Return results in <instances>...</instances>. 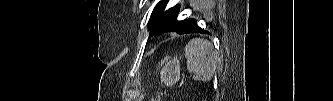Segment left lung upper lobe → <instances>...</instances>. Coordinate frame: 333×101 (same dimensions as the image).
<instances>
[{
    "mask_svg": "<svg viewBox=\"0 0 333 101\" xmlns=\"http://www.w3.org/2000/svg\"><path fill=\"white\" fill-rule=\"evenodd\" d=\"M166 4L167 0H161L155 6L149 20V27H152L149 37L153 34L160 35L165 32H173L180 24V21L177 20L179 7L175 6L163 12Z\"/></svg>",
    "mask_w": 333,
    "mask_h": 101,
    "instance_id": "obj_1",
    "label": "left lung upper lobe"
}]
</instances>
